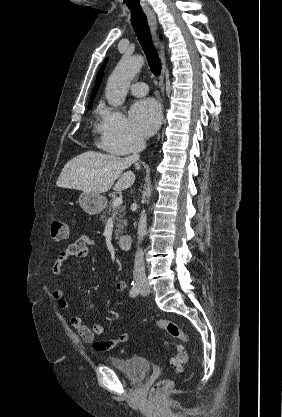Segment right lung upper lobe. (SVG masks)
<instances>
[{"label":"right lung upper lobe","mask_w":282,"mask_h":417,"mask_svg":"<svg viewBox=\"0 0 282 417\" xmlns=\"http://www.w3.org/2000/svg\"><path fill=\"white\" fill-rule=\"evenodd\" d=\"M161 38H162V36H161ZM106 62H107V59L105 60L104 64L101 66L100 70L98 71V74H97V78H96V82H95V86H94L92 95H95L96 94V92H97V90H98V88L100 86V82H101V79L103 77V70L105 68Z\"/></svg>","instance_id":"obj_1"}]
</instances>
